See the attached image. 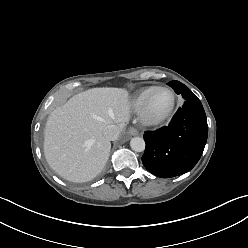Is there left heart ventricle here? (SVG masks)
<instances>
[{
  "label": "left heart ventricle",
  "instance_id": "left-heart-ventricle-1",
  "mask_svg": "<svg viewBox=\"0 0 248 248\" xmlns=\"http://www.w3.org/2000/svg\"><path fill=\"white\" fill-rule=\"evenodd\" d=\"M170 104V95L165 91H157L150 101V111L153 114L163 112Z\"/></svg>",
  "mask_w": 248,
  "mask_h": 248
}]
</instances>
